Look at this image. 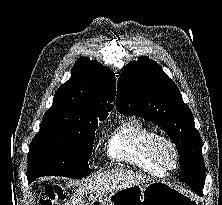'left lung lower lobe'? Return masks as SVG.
Here are the masks:
<instances>
[{"label": "left lung lower lobe", "instance_id": "obj_1", "mask_svg": "<svg viewBox=\"0 0 222 205\" xmlns=\"http://www.w3.org/2000/svg\"><path fill=\"white\" fill-rule=\"evenodd\" d=\"M180 166L182 170H186L189 172H193L197 165L196 162L192 159V158H180ZM186 184H188L196 193H198L199 195L202 193V189L203 187L198 186L195 182L186 179L185 182Z\"/></svg>", "mask_w": 222, "mask_h": 205}]
</instances>
